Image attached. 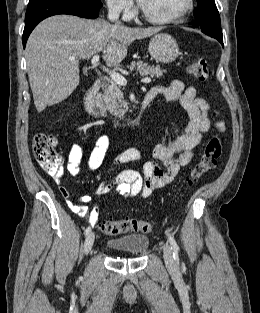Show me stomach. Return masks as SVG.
I'll list each match as a JSON object with an SVG mask.
<instances>
[{"mask_svg":"<svg viewBox=\"0 0 260 313\" xmlns=\"http://www.w3.org/2000/svg\"><path fill=\"white\" fill-rule=\"evenodd\" d=\"M149 53L158 62L171 63L179 55L177 41L167 33L154 35L149 42Z\"/></svg>","mask_w":260,"mask_h":313,"instance_id":"1","label":"stomach"}]
</instances>
